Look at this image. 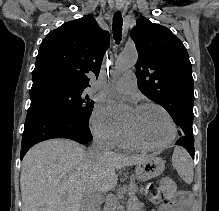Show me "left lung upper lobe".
I'll use <instances>...</instances> for the list:
<instances>
[{
    "mask_svg": "<svg viewBox=\"0 0 219 211\" xmlns=\"http://www.w3.org/2000/svg\"><path fill=\"white\" fill-rule=\"evenodd\" d=\"M131 38L138 51V88L166 109L180 127V136L192 135V66L182 41L165 26L147 18L137 20Z\"/></svg>",
    "mask_w": 219,
    "mask_h": 211,
    "instance_id": "obj_1",
    "label": "left lung upper lobe"
}]
</instances>
